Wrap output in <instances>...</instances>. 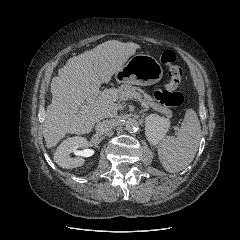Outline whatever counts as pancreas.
<instances>
[{
	"mask_svg": "<svg viewBox=\"0 0 240 240\" xmlns=\"http://www.w3.org/2000/svg\"><path fill=\"white\" fill-rule=\"evenodd\" d=\"M118 93L121 100L129 99V94L133 93L134 95H137L141 101L147 103L149 107L153 108L158 112L166 114L169 118L172 117V111L168 107L160 105L155 101L153 97H151L149 94L145 93L142 89L138 87L131 86L130 84H122L118 88Z\"/></svg>",
	"mask_w": 240,
	"mask_h": 240,
	"instance_id": "cf45deb5",
	"label": "pancreas"
}]
</instances>
